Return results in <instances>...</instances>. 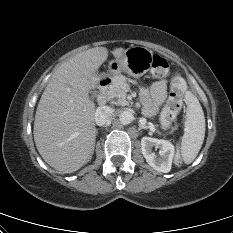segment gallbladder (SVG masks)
<instances>
[{
    "mask_svg": "<svg viewBox=\"0 0 233 233\" xmlns=\"http://www.w3.org/2000/svg\"><path fill=\"white\" fill-rule=\"evenodd\" d=\"M90 92H91L92 96L94 97V95L96 94V91L92 89Z\"/></svg>",
    "mask_w": 233,
    "mask_h": 233,
    "instance_id": "1",
    "label": "gallbladder"
}]
</instances>
